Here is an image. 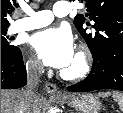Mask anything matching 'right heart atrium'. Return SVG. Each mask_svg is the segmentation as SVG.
Returning a JSON list of instances; mask_svg holds the SVG:
<instances>
[{
  "mask_svg": "<svg viewBox=\"0 0 123 113\" xmlns=\"http://www.w3.org/2000/svg\"><path fill=\"white\" fill-rule=\"evenodd\" d=\"M27 67L30 71H33V72H36L40 69L39 63L36 60L32 59V58H30L27 61Z\"/></svg>",
  "mask_w": 123,
  "mask_h": 113,
  "instance_id": "d8ad5b80",
  "label": "right heart atrium"
}]
</instances>
